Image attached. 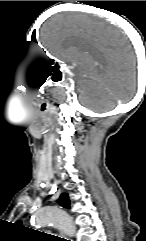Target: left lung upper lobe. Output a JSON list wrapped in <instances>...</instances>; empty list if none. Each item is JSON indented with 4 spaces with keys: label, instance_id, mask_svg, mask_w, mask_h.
<instances>
[{
    "label": "left lung upper lobe",
    "instance_id": "5c2ea615",
    "mask_svg": "<svg viewBox=\"0 0 146 241\" xmlns=\"http://www.w3.org/2000/svg\"><path fill=\"white\" fill-rule=\"evenodd\" d=\"M59 204L65 208H69V198H68V194L63 193L59 200H58Z\"/></svg>",
    "mask_w": 146,
    "mask_h": 241
}]
</instances>
